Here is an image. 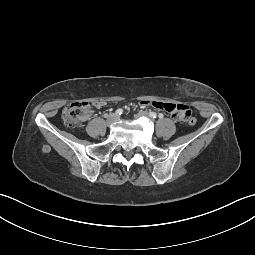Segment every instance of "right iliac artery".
<instances>
[{
    "label": "right iliac artery",
    "mask_w": 255,
    "mask_h": 255,
    "mask_svg": "<svg viewBox=\"0 0 255 255\" xmlns=\"http://www.w3.org/2000/svg\"><path fill=\"white\" fill-rule=\"evenodd\" d=\"M122 113H123V109H117V110H116V114H117V115H121Z\"/></svg>",
    "instance_id": "1"
}]
</instances>
